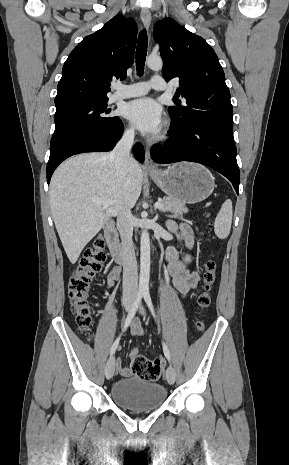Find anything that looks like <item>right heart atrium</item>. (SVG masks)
Segmentation results:
<instances>
[{"mask_svg": "<svg viewBox=\"0 0 289 465\" xmlns=\"http://www.w3.org/2000/svg\"><path fill=\"white\" fill-rule=\"evenodd\" d=\"M135 135L134 128L132 125H127L124 129V136L127 139H133Z\"/></svg>", "mask_w": 289, "mask_h": 465, "instance_id": "right-heart-atrium-1", "label": "right heart atrium"}]
</instances>
